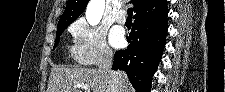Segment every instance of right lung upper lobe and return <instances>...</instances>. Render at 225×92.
I'll return each mask as SVG.
<instances>
[{"instance_id":"cb5924a9","label":"right lung upper lobe","mask_w":225,"mask_h":92,"mask_svg":"<svg viewBox=\"0 0 225 92\" xmlns=\"http://www.w3.org/2000/svg\"><path fill=\"white\" fill-rule=\"evenodd\" d=\"M89 0H68L58 24H71L84 11ZM134 5V19L153 17L168 11L166 0H131Z\"/></svg>"}]
</instances>
